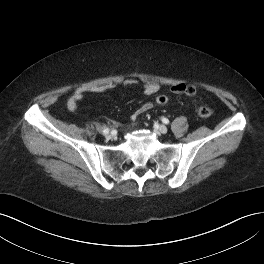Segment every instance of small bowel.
<instances>
[{
    "label": "small bowel",
    "mask_w": 264,
    "mask_h": 264,
    "mask_svg": "<svg viewBox=\"0 0 264 264\" xmlns=\"http://www.w3.org/2000/svg\"><path fill=\"white\" fill-rule=\"evenodd\" d=\"M137 83L136 80L134 79H128L123 82L124 87H131L134 86ZM117 84L116 83H108V84H103L99 86H83L77 88L71 97L69 98L67 102V109L69 112H74L78 108L79 102H81L84 98V95L86 93L92 92V93H101L105 91L112 90L116 88ZM185 84L179 83V84H174L171 86V92L174 94H183L184 89H185ZM160 90V85L156 82H151V83H146L142 87V92L144 95L151 96L156 94ZM153 103L152 102H147L144 105H142L136 113L132 116V120H134L138 115H141L150 109L153 108Z\"/></svg>",
    "instance_id": "c3829d8e"
}]
</instances>
